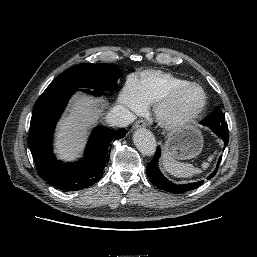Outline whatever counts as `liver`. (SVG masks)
Wrapping results in <instances>:
<instances>
[{"label": "liver", "mask_w": 257, "mask_h": 257, "mask_svg": "<svg viewBox=\"0 0 257 257\" xmlns=\"http://www.w3.org/2000/svg\"><path fill=\"white\" fill-rule=\"evenodd\" d=\"M95 103L90 97L82 95L72 99L68 114L59 122L57 128L55 145L58 158L72 160L78 157L92 120L101 113L100 109L94 107Z\"/></svg>", "instance_id": "6515ba94"}]
</instances>
